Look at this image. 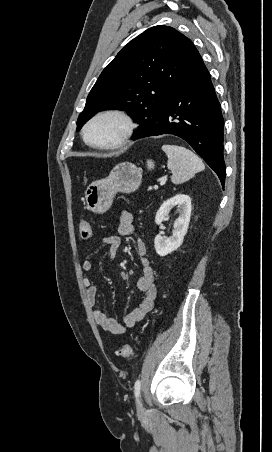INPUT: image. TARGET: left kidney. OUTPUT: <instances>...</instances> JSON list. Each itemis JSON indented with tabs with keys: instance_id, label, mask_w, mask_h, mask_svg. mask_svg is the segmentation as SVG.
Instances as JSON below:
<instances>
[{
	"instance_id": "1",
	"label": "left kidney",
	"mask_w": 272,
	"mask_h": 452,
	"mask_svg": "<svg viewBox=\"0 0 272 452\" xmlns=\"http://www.w3.org/2000/svg\"><path fill=\"white\" fill-rule=\"evenodd\" d=\"M174 207L177 208L179 217L174 222L172 236L167 238L158 234L154 240V247L159 256H166L177 250L183 243L189 227L192 206L191 198L185 194H177L164 201L155 215V223L161 225Z\"/></svg>"
}]
</instances>
